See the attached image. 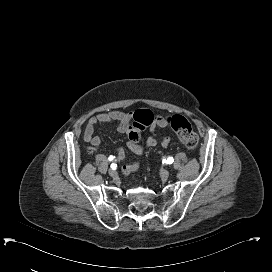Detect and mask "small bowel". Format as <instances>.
Returning a JSON list of instances; mask_svg holds the SVG:
<instances>
[{"label":"small bowel","mask_w":272,"mask_h":272,"mask_svg":"<svg viewBox=\"0 0 272 272\" xmlns=\"http://www.w3.org/2000/svg\"><path fill=\"white\" fill-rule=\"evenodd\" d=\"M115 122L116 130L120 133L130 134L133 129L130 126V115L124 113L122 111L113 110L110 112L99 113L93 117H91L84 130V140L89 142L94 149H98L101 145V138L99 136L94 135V127L96 124H103ZM167 126L165 123V117L157 116L152 124L149 126L150 131L153 133V136L149 137L146 146L153 147L157 144H160L162 148H167L170 145L171 139L169 136H162L159 139L154 134L158 128ZM129 146L131 150L136 154H142L144 151V147L137 143L130 142ZM116 152L118 154V159L122 160L124 158V150L121 147L116 148ZM138 167V164H132L123 167L124 172H128L134 170Z\"/></svg>","instance_id":"small-bowel-1"}]
</instances>
